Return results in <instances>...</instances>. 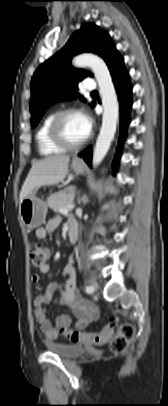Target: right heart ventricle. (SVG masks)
Listing matches in <instances>:
<instances>
[{
    "label": "right heart ventricle",
    "mask_w": 168,
    "mask_h": 406,
    "mask_svg": "<svg viewBox=\"0 0 168 406\" xmlns=\"http://www.w3.org/2000/svg\"><path fill=\"white\" fill-rule=\"evenodd\" d=\"M55 113H50L41 122L36 132V143L39 153L43 156L56 155L64 151V148L55 145L49 138V125Z\"/></svg>",
    "instance_id": "e07e8e85"
}]
</instances>
